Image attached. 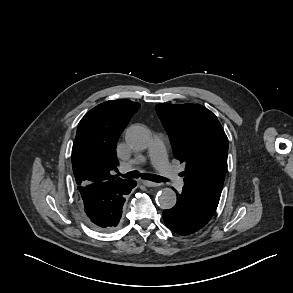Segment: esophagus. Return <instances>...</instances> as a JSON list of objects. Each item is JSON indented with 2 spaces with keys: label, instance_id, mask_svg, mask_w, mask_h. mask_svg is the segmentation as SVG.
<instances>
[{
  "label": "esophagus",
  "instance_id": "obj_1",
  "mask_svg": "<svg viewBox=\"0 0 293 293\" xmlns=\"http://www.w3.org/2000/svg\"><path fill=\"white\" fill-rule=\"evenodd\" d=\"M141 183L146 186V187H157L159 186L158 183L156 182H152V181H148V180H142Z\"/></svg>",
  "mask_w": 293,
  "mask_h": 293
}]
</instances>
